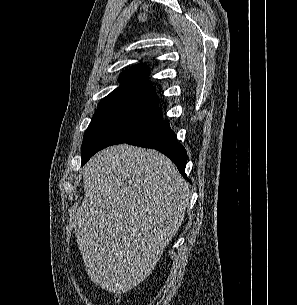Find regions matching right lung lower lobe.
Instances as JSON below:
<instances>
[{
	"label": "right lung lower lobe",
	"instance_id": "right-lung-lower-lobe-1",
	"mask_svg": "<svg viewBox=\"0 0 297 305\" xmlns=\"http://www.w3.org/2000/svg\"><path fill=\"white\" fill-rule=\"evenodd\" d=\"M124 143L160 151L169 157L176 164L179 172L186 177L187 152L177 141L174 131H172L166 120L162 119L150 129Z\"/></svg>",
	"mask_w": 297,
	"mask_h": 305
}]
</instances>
